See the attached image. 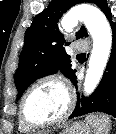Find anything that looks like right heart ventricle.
Instances as JSON below:
<instances>
[{"mask_svg":"<svg viewBox=\"0 0 116 134\" xmlns=\"http://www.w3.org/2000/svg\"><path fill=\"white\" fill-rule=\"evenodd\" d=\"M19 130H20L21 132L27 133V132L32 131L33 129L30 128V127H28L27 125H25V124L21 121V119L19 118Z\"/></svg>","mask_w":116,"mask_h":134,"instance_id":"obj_1","label":"right heart ventricle"}]
</instances>
